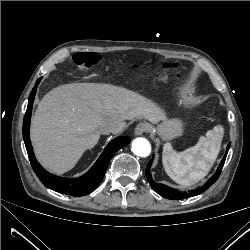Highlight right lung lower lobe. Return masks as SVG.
Masks as SVG:
<instances>
[{
  "label": "right lung lower lobe",
  "instance_id": "98d812e1",
  "mask_svg": "<svg viewBox=\"0 0 250 250\" xmlns=\"http://www.w3.org/2000/svg\"><path fill=\"white\" fill-rule=\"evenodd\" d=\"M40 80L41 78L36 82L35 87L29 96L28 106L23 121V138L31 166L35 174L46 187L56 192L75 197L87 195L98 187L105 175L112 156L120 148L126 146L130 142V138L122 136L112 140L106 146L93 167L79 178H63L47 172L35 158L29 135L32 106Z\"/></svg>",
  "mask_w": 250,
  "mask_h": 250
}]
</instances>
